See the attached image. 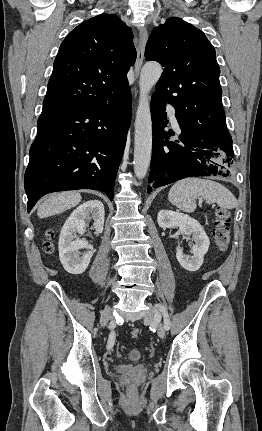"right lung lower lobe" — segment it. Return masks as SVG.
<instances>
[{
	"label": "right lung lower lobe",
	"mask_w": 262,
	"mask_h": 431,
	"mask_svg": "<svg viewBox=\"0 0 262 431\" xmlns=\"http://www.w3.org/2000/svg\"><path fill=\"white\" fill-rule=\"evenodd\" d=\"M130 120V89L103 106L43 110L24 177L28 212L56 191L95 189L113 200Z\"/></svg>",
	"instance_id": "1"
}]
</instances>
